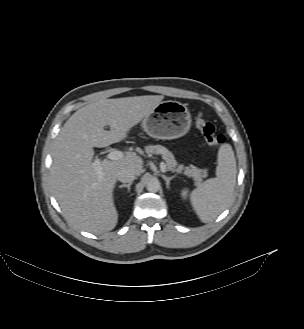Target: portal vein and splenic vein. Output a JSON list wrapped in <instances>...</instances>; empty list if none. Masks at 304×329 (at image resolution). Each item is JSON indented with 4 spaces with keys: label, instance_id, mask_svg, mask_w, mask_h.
Masks as SVG:
<instances>
[{
    "label": "portal vein and splenic vein",
    "instance_id": "obj_1",
    "mask_svg": "<svg viewBox=\"0 0 304 329\" xmlns=\"http://www.w3.org/2000/svg\"><path fill=\"white\" fill-rule=\"evenodd\" d=\"M123 157H124V152L119 151V150H111L106 156V158L109 160H119V159H122ZM94 168L97 171L98 176L101 178L102 171H101V167H100V159H95ZM160 169L162 172L166 171V164L164 162L160 163Z\"/></svg>",
    "mask_w": 304,
    "mask_h": 329
}]
</instances>
